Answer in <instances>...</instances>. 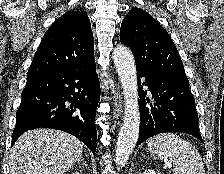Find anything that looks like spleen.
<instances>
[{
	"mask_svg": "<svg viewBox=\"0 0 224 174\" xmlns=\"http://www.w3.org/2000/svg\"><path fill=\"white\" fill-rule=\"evenodd\" d=\"M148 150L161 157L169 158L173 174H205L201 155L189 142L174 133H162L148 142Z\"/></svg>",
	"mask_w": 224,
	"mask_h": 174,
	"instance_id": "obj_1",
	"label": "spleen"
}]
</instances>
